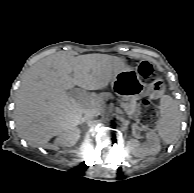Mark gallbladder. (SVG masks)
Returning <instances> with one entry per match:
<instances>
[{
  "label": "gallbladder",
  "mask_w": 194,
  "mask_h": 193,
  "mask_svg": "<svg viewBox=\"0 0 194 193\" xmlns=\"http://www.w3.org/2000/svg\"><path fill=\"white\" fill-rule=\"evenodd\" d=\"M77 90L76 89H72L69 91L70 94H72V92H76Z\"/></svg>",
  "instance_id": "obj_1"
}]
</instances>
